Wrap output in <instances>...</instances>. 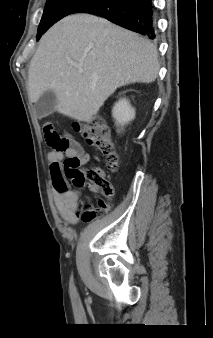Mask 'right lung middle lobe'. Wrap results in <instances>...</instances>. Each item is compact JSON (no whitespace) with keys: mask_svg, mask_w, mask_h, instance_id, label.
I'll return each mask as SVG.
<instances>
[{"mask_svg":"<svg viewBox=\"0 0 213 338\" xmlns=\"http://www.w3.org/2000/svg\"><path fill=\"white\" fill-rule=\"evenodd\" d=\"M92 0H47L44 13L38 27L37 39L54 23L63 17L74 13L79 7Z\"/></svg>","mask_w":213,"mask_h":338,"instance_id":"obj_1","label":"right lung middle lobe"}]
</instances>
